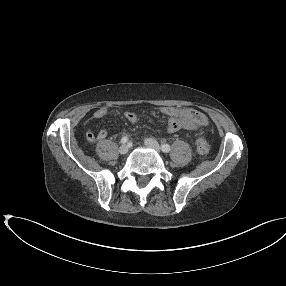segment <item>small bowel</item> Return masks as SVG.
Instances as JSON below:
<instances>
[{
    "label": "small bowel",
    "mask_w": 286,
    "mask_h": 286,
    "mask_svg": "<svg viewBox=\"0 0 286 286\" xmlns=\"http://www.w3.org/2000/svg\"><path fill=\"white\" fill-rule=\"evenodd\" d=\"M160 112L168 118L167 130L172 133L182 129L194 130L208 124L207 117L202 112L192 108L165 106L160 109ZM107 114L108 108L101 106L94 111L93 118L102 119ZM124 117L130 123H136L138 121V116L131 111H126ZM107 136L108 132L105 129L100 130L97 135H95L92 130H87V139L90 143L96 140H104Z\"/></svg>",
    "instance_id": "1"
}]
</instances>
